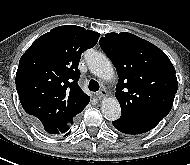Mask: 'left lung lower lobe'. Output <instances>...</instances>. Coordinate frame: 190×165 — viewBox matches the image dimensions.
<instances>
[{
	"mask_svg": "<svg viewBox=\"0 0 190 165\" xmlns=\"http://www.w3.org/2000/svg\"><path fill=\"white\" fill-rule=\"evenodd\" d=\"M113 126L122 133L126 134H141L154 128L159 121L148 119H137L125 115H121L116 121H113Z\"/></svg>",
	"mask_w": 190,
	"mask_h": 165,
	"instance_id": "obj_1",
	"label": "left lung lower lobe"
}]
</instances>
